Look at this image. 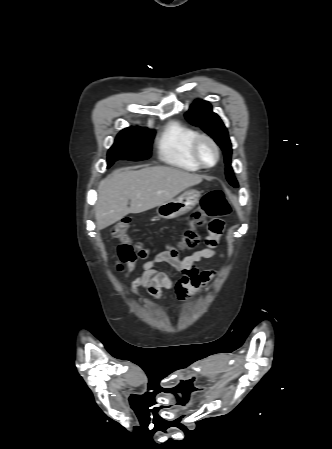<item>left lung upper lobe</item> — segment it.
Masks as SVG:
<instances>
[{
  "label": "left lung upper lobe",
  "mask_w": 332,
  "mask_h": 449,
  "mask_svg": "<svg viewBox=\"0 0 332 449\" xmlns=\"http://www.w3.org/2000/svg\"><path fill=\"white\" fill-rule=\"evenodd\" d=\"M185 116L191 124L201 127L221 147L225 157L227 180L232 186L238 187L231 167L232 148L228 132L219 116L212 112L211 105L207 101L197 100Z\"/></svg>",
  "instance_id": "obj_1"
}]
</instances>
